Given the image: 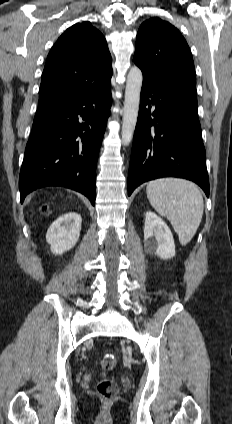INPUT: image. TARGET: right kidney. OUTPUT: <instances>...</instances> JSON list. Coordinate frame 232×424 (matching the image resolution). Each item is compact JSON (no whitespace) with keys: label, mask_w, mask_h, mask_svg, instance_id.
<instances>
[{"label":"right kidney","mask_w":232,"mask_h":424,"mask_svg":"<svg viewBox=\"0 0 232 424\" xmlns=\"http://www.w3.org/2000/svg\"><path fill=\"white\" fill-rule=\"evenodd\" d=\"M81 216L75 212L61 215L49 227L46 240L51 245V252L61 255L73 248L80 236Z\"/></svg>","instance_id":"right-kidney-1"}]
</instances>
